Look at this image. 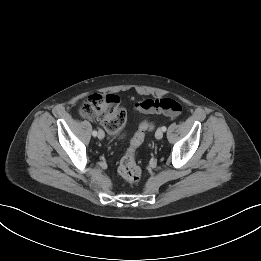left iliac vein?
Wrapping results in <instances>:
<instances>
[{
    "label": "left iliac vein",
    "mask_w": 261,
    "mask_h": 261,
    "mask_svg": "<svg viewBox=\"0 0 261 261\" xmlns=\"http://www.w3.org/2000/svg\"><path fill=\"white\" fill-rule=\"evenodd\" d=\"M156 139H161L163 137V130L162 128H158L155 132Z\"/></svg>",
    "instance_id": "1"
}]
</instances>
